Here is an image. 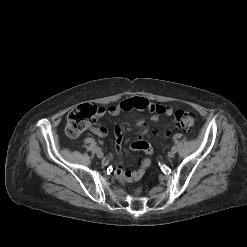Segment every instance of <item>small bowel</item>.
<instances>
[{"mask_svg": "<svg viewBox=\"0 0 247 247\" xmlns=\"http://www.w3.org/2000/svg\"><path fill=\"white\" fill-rule=\"evenodd\" d=\"M131 110H148L152 113L151 121L157 122L161 115L171 116L173 113V109L164 105L156 104L144 97H131L122 100L120 103L116 105L109 106L107 108L100 107L98 108V117L104 116L106 113L110 115L116 116L121 112L131 111ZM137 126L142 130L141 134L146 135L148 133V129L143 120H139L137 122ZM91 131L97 136L103 137L107 134V129L104 127H91ZM115 134V155L119 160L115 166L114 174L117 180L121 183H131L138 181L144 174L146 168L150 165V159L144 158L139 161V168L135 171L125 169L121 162L122 156V140H123V132L121 126H116L114 128ZM131 149L135 151H143L148 156L152 154L151 145L144 140L142 137L138 138L131 144ZM109 160L106 159L104 164H108Z\"/></svg>", "mask_w": 247, "mask_h": 247, "instance_id": "1", "label": "small bowel"}]
</instances>
